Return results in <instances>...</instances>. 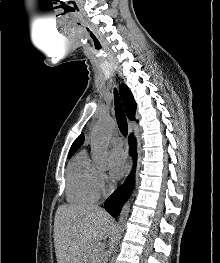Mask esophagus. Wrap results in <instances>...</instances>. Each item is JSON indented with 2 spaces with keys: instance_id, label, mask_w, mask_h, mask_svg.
I'll return each mask as SVG.
<instances>
[{
  "instance_id": "obj_1",
  "label": "esophagus",
  "mask_w": 220,
  "mask_h": 263,
  "mask_svg": "<svg viewBox=\"0 0 220 263\" xmlns=\"http://www.w3.org/2000/svg\"><path fill=\"white\" fill-rule=\"evenodd\" d=\"M132 166H133V161H132V159H130L127 176L130 174V172H131V170H132Z\"/></svg>"
}]
</instances>
